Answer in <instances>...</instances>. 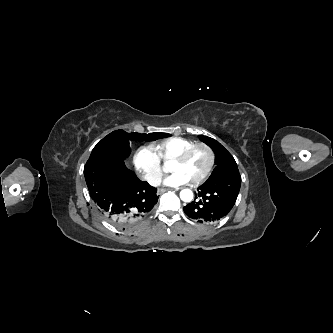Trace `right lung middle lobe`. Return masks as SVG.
Returning <instances> with one entry per match:
<instances>
[{"instance_id": "1", "label": "right lung middle lobe", "mask_w": 333, "mask_h": 333, "mask_svg": "<svg viewBox=\"0 0 333 333\" xmlns=\"http://www.w3.org/2000/svg\"><path fill=\"white\" fill-rule=\"evenodd\" d=\"M169 136V134H140V133H127L123 130H116L103 138L91 152L90 158L96 157H110L115 159L124 160L130 155L129 140H157L161 137Z\"/></svg>"}]
</instances>
